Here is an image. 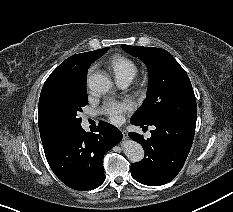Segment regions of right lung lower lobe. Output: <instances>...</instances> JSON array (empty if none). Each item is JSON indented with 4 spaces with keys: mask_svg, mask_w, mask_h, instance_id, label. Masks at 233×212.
<instances>
[{
    "mask_svg": "<svg viewBox=\"0 0 233 212\" xmlns=\"http://www.w3.org/2000/svg\"><path fill=\"white\" fill-rule=\"evenodd\" d=\"M96 134L76 128L44 150L55 175L68 187L86 191L105 180L103 156L122 139L113 125L100 122Z\"/></svg>",
    "mask_w": 233,
    "mask_h": 212,
    "instance_id": "98d812e1",
    "label": "right lung lower lobe"
}]
</instances>
